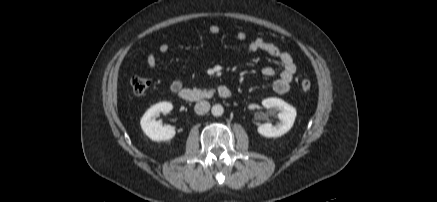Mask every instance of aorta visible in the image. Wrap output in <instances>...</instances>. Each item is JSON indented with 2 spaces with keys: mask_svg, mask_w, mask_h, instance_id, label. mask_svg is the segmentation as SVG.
Segmentation results:
<instances>
[{
  "mask_svg": "<svg viewBox=\"0 0 437 202\" xmlns=\"http://www.w3.org/2000/svg\"><path fill=\"white\" fill-rule=\"evenodd\" d=\"M211 112L213 116L219 117L224 113V108L220 104H215L213 105Z\"/></svg>",
  "mask_w": 437,
  "mask_h": 202,
  "instance_id": "obj_1",
  "label": "aorta"
}]
</instances>
